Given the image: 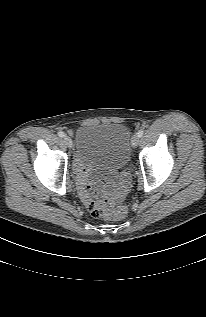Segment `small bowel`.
<instances>
[{"label": "small bowel", "mask_w": 206, "mask_h": 317, "mask_svg": "<svg viewBox=\"0 0 206 317\" xmlns=\"http://www.w3.org/2000/svg\"><path fill=\"white\" fill-rule=\"evenodd\" d=\"M77 173H78V182H79V189L80 195L84 203L87 205L89 198H90V185L87 181V173L88 169L86 167H82L80 164L77 165ZM128 187V179L127 173L122 174V184L119 190L118 195H122Z\"/></svg>", "instance_id": "c3829d8e"}]
</instances>
